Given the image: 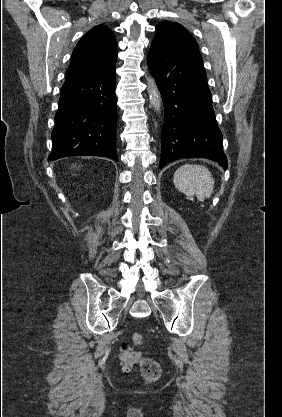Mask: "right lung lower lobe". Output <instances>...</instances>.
<instances>
[{
  "mask_svg": "<svg viewBox=\"0 0 282 417\" xmlns=\"http://www.w3.org/2000/svg\"><path fill=\"white\" fill-rule=\"evenodd\" d=\"M116 63L66 79L52 132L48 161L67 156H101L116 152Z\"/></svg>",
  "mask_w": 282,
  "mask_h": 417,
  "instance_id": "right-lung-lower-lobe-1",
  "label": "right lung lower lobe"
}]
</instances>
